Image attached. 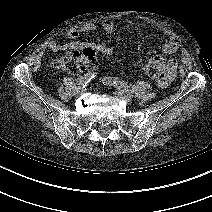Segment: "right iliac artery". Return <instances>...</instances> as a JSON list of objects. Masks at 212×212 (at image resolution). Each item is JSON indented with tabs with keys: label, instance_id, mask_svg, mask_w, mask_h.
I'll use <instances>...</instances> for the list:
<instances>
[{
	"label": "right iliac artery",
	"instance_id": "right-iliac-artery-1",
	"mask_svg": "<svg viewBox=\"0 0 212 212\" xmlns=\"http://www.w3.org/2000/svg\"><path fill=\"white\" fill-rule=\"evenodd\" d=\"M97 73L95 72H88L84 76L80 77L76 81V87H75V92L78 90L85 88V86L93 79L95 78Z\"/></svg>",
	"mask_w": 212,
	"mask_h": 212
}]
</instances>
